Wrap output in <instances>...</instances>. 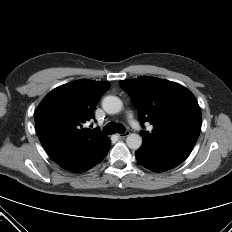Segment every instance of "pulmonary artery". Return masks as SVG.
I'll return each mask as SVG.
<instances>
[{
  "label": "pulmonary artery",
  "instance_id": "e3ab8cb5",
  "mask_svg": "<svg viewBox=\"0 0 232 232\" xmlns=\"http://www.w3.org/2000/svg\"><path fill=\"white\" fill-rule=\"evenodd\" d=\"M131 123H132V125H133L135 128H138V124H137L136 121H134V120L131 119Z\"/></svg>",
  "mask_w": 232,
  "mask_h": 232
}]
</instances>
